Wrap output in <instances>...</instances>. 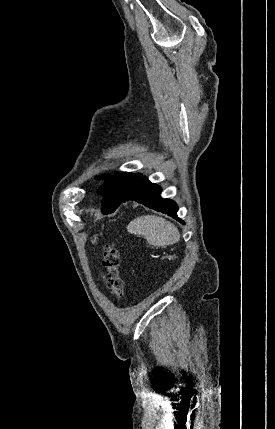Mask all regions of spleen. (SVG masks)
I'll use <instances>...</instances> for the list:
<instances>
[{"label": "spleen", "instance_id": "obj_1", "mask_svg": "<svg viewBox=\"0 0 275 429\" xmlns=\"http://www.w3.org/2000/svg\"><path fill=\"white\" fill-rule=\"evenodd\" d=\"M131 234L142 235L147 242L156 247L176 243L180 239L177 227L162 217L155 215L140 216L127 226Z\"/></svg>", "mask_w": 275, "mask_h": 429}]
</instances>
